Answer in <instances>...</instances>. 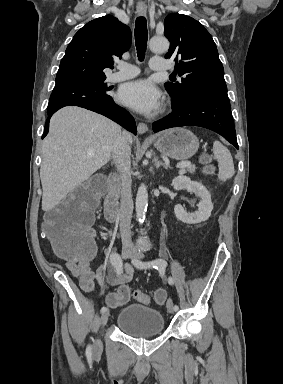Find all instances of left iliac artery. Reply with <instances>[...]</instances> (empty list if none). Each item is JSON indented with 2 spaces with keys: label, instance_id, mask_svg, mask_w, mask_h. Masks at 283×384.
<instances>
[{
  "label": "left iliac artery",
  "instance_id": "44dca946",
  "mask_svg": "<svg viewBox=\"0 0 283 384\" xmlns=\"http://www.w3.org/2000/svg\"><path fill=\"white\" fill-rule=\"evenodd\" d=\"M166 266H167V262L163 259H155V260L147 261V262L139 261L137 263L138 268L146 269V268H152L153 267V268L157 269L160 273H164ZM168 283L170 285L173 284V278L172 277L168 278ZM178 309H179V307L177 305H174V310L178 311Z\"/></svg>",
  "mask_w": 283,
  "mask_h": 384
}]
</instances>
